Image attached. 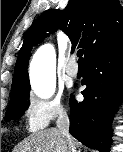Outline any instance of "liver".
I'll return each instance as SVG.
<instances>
[{"label": "liver", "instance_id": "1", "mask_svg": "<svg viewBox=\"0 0 123 152\" xmlns=\"http://www.w3.org/2000/svg\"><path fill=\"white\" fill-rule=\"evenodd\" d=\"M73 148L80 144L71 137ZM13 152H69L68 143L56 128L33 133L21 141Z\"/></svg>", "mask_w": 123, "mask_h": 152}]
</instances>
